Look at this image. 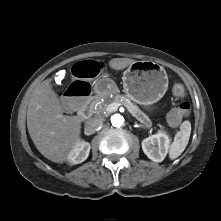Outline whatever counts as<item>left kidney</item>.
Returning <instances> with one entry per match:
<instances>
[{"mask_svg":"<svg viewBox=\"0 0 221 221\" xmlns=\"http://www.w3.org/2000/svg\"><path fill=\"white\" fill-rule=\"evenodd\" d=\"M169 146L170 138L163 131H159L157 134L142 141L143 152L154 162H162L164 160L168 153Z\"/></svg>","mask_w":221,"mask_h":221,"instance_id":"1","label":"left kidney"}]
</instances>
